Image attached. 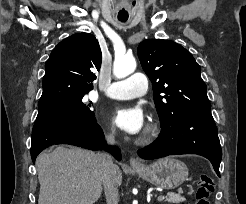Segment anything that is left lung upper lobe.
Masks as SVG:
<instances>
[{
	"instance_id": "left-lung-upper-lobe-1",
	"label": "left lung upper lobe",
	"mask_w": 246,
	"mask_h": 204,
	"mask_svg": "<svg viewBox=\"0 0 246 204\" xmlns=\"http://www.w3.org/2000/svg\"><path fill=\"white\" fill-rule=\"evenodd\" d=\"M137 53L153 84L161 127L176 117L210 113L200 66L189 51L170 40L149 39L139 44Z\"/></svg>"
}]
</instances>
